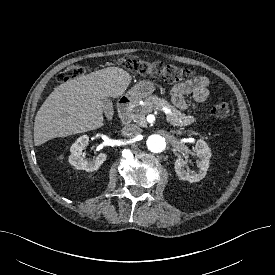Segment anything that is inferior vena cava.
Listing matches in <instances>:
<instances>
[{"label": "inferior vena cava", "instance_id": "obj_1", "mask_svg": "<svg viewBox=\"0 0 275 275\" xmlns=\"http://www.w3.org/2000/svg\"><path fill=\"white\" fill-rule=\"evenodd\" d=\"M141 131V128L136 124H128L123 128V134L128 137H136Z\"/></svg>", "mask_w": 275, "mask_h": 275}]
</instances>
